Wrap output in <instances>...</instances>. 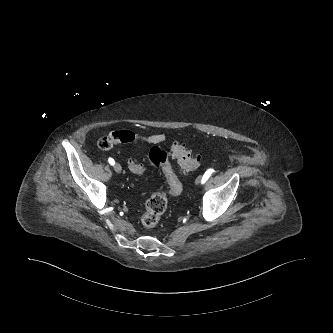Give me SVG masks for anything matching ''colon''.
Returning a JSON list of instances; mask_svg holds the SVG:
<instances>
[{
	"label": "colon",
	"mask_w": 333,
	"mask_h": 333,
	"mask_svg": "<svg viewBox=\"0 0 333 333\" xmlns=\"http://www.w3.org/2000/svg\"><path fill=\"white\" fill-rule=\"evenodd\" d=\"M97 145L102 150H109L113 147L114 140L111 136H105L98 140ZM170 155L176 159L182 172L193 171L199 166L200 158L191 154L182 143H173L170 147ZM147 160L151 165L161 168L167 182L166 190L155 192L149 197L141 217V222L145 227L153 228L159 223L167 209L168 195H180L182 183L169 162L168 153L159 146H153L149 150ZM127 166L129 171L135 175H141L147 169L144 163L134 157L128 159Z\"/></svg>",
	"instance_id": "1"
}]
</instances>
